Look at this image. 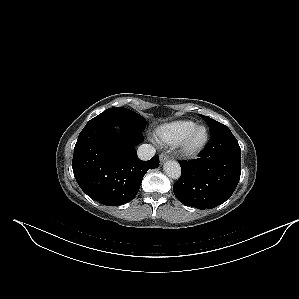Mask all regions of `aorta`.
Listing matches in <instances>:
<instances>
[{"label":"aorta","instance_id":"obj_1","mask_svg":"<svg viewBox=\"0 0 299 299\" xmlns=\"http://www.w3.org/2000/svg\"><path fill=\"white\" fill-rule=\"evenodd\" d=\"M163 170L165 174L172 179H178L181 176V167L179 163L174 160L165 162Z\"/></svg>","mask_w":299,"mask_h":299}]
</instances>
